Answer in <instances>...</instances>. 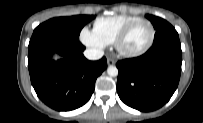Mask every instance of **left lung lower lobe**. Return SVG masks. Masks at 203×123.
I'll use <instances>...</instances> for the list:
<instances>
[{"mask_svg": "<svg viewBox=\"0 0 203 123\" xmlns=\"http://www.w3.org/2000/svg\"><path fill=\"white\" fill-rule=\"evenodd\" d=\"M182 51L178 35L153 43L142 56L119 61L117 92L128 106L153 111L175 92L181 74Z\"/></svg>", "mask_w": 203, "mask_h": 123, "instance_id": "1", "label": "left lung lower lobe"}]
</instances>
